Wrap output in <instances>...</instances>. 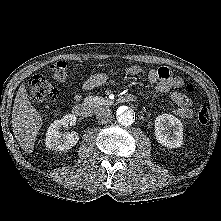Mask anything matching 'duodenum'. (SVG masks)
Returning a JSON list of instances; mask_svg holds the SVG:
<instances>
[{"mask_svg": "<svg viewBox=\"0 0 221 221\" xmlns=\"http://www.w3.org/2000/svg\"><path fill=\"white\" fill-rule=\"evenodd\" d=\"M120 100L126 101V102H135L137 100L136 95L133 94H127L120 97ZM93 111L92 104H78L74 106L73 112L75 115L82 117V118H88L91 116Z\"/></svg>", "mask_w": 221, "mask_h": 221, "instance_id": "duodenum-1", "label": "duodenum"}]
</instances>
